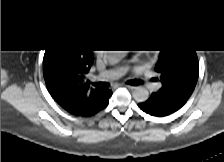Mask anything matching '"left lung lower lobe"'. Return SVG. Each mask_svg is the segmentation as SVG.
Returning <instances> with one entry per match:
<instances>
[{
    "instance_id": "0a47b994",
    "label": "left lung lower lobe",
    "mask_w": 224,
    "mask_h": 162,
    "mask_svg": "<svg viewBox=\"0 0 224 162\" xmlns=\"http://www.w3.org/2000/svg\"><path fill=\"white\" fill-rule=\"evenodd\" d=\"M187 100L163 97L158 93L151 94V97L138 106L144 112L153 116H167L179 110Z\"/></svg>"
}]
</instances>
